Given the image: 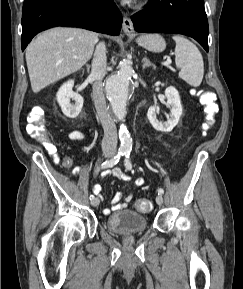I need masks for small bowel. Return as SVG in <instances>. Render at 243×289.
Here are the masks:
<instances>
[{
    "label": "small bowel",
    "instance_id": "small-bowel-1",
    "mask_svg": "<svg viewBox=\"0 0 243 289\" xmlns=\"http://www.w3.org/2000/svg\"><path fill=\"white\" fill-rule=\"evenodd\" d=\"M68 136L71 140H75V141H81L85 138V134L78 130L70 132ZM77 172H79V170H77ZM111 174L117 179H120L122 181L132 180L131 176L126 174L121 168H114L111 171ZM132 181H133V185L137 187L142 186L144 184V179L142 177H137L133 179ZM101 190H102V187L99 184H96L93 187V192L95 194H99ZM131 200H132V195L123 196L121 192H117L112 199L111 209H104L103 212L104 214H110L112 211L121 210L125 208Z\"/></svg>",
    "mask_w": 243,
    "mask_h": 289
}]
</instances>
